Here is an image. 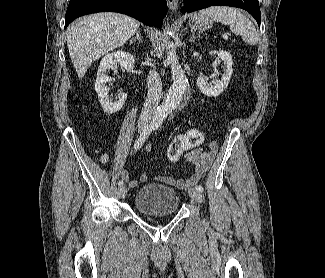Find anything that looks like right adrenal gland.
<instances>
[{
  "label": "right adrenal gland",
  "instance_id": "1",
  "mask_svg": "<svg viewBox=\"0 0 325 278\" xmlns=\"http://www.w3.org/2000/svg\"><path fill=\"white\" fill-rule=\"evenodd\" d=\"M135 41H138L139 43L142 42V41H141V36H140V29H138V30L136 31V36L130 40V43H133V42H135Z\"/></svg>",
  "mask_w": 325,
  "mask_h": 278
}]
</instances>
